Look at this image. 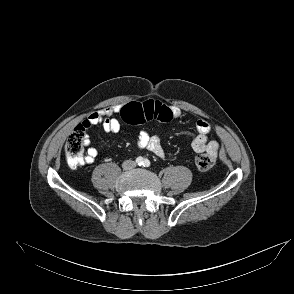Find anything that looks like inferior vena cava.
<instances>
[{"label":"inferior vena cava","instance_id":"obj_1","mask_svg":"<svg viewBox=\"0 0 294 294\" xmlns=\"http://www.w3.org/2000/svg\"><path fill=\"white\" fill-rule=\"evenodd\" d=\"M136 166V163L133 160H126L122 164L124 170H131Z\"/></svg>","mask_w":294,"mask_h":294}]
</instances>
